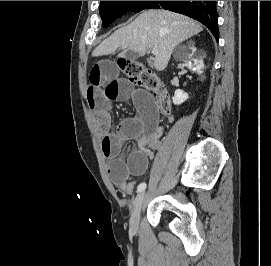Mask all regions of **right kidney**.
Listing matches in <instances>:
<instances>
[{
	"label": "right kidney",
	"instance_id": "right-kidney-1",
	"mask_svg": "<svg viewBox=\"0 0 271 266\" xmlns=\"http://www.w3.org/2000/svg\"><path fill=\"white\" fill-rule=\"evenodd\" d=\"M196 49L193 45H189L184 52V59L189 64L190 68H194L197 74L203 73L204 62L202 58L195 54ZM188 99V94L182 90H176L172 97L173 104L180 105Z\"/></svg>",
	"mask_w": 271,
	"mask_h": 266
}]
</instances>
